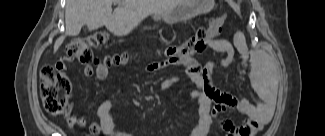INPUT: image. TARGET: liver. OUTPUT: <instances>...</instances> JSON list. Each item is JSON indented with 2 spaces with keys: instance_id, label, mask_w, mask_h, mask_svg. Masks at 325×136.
Instances as JSON below:
<instances>
[{
  "instance_id": "1",
  "label": "liver",
  "mask_w": 325,
  "mask_h": 136,
  "mask_svg": "<svg viewBox=\"0 0 325 136\" xmlns=\"http://www.w3.org/2000/svg\"><path fill=\"white\" fill-rule=\"evenodd\" d=\"M182 0H67L65 35L54 44L56 52L66 36H77L83 25L92 31L102 26L116 36L128 35L147 16L169 11ZM118 7L112 13V3Z\"/></svg>"
}]
</instances>
